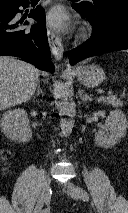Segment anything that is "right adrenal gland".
Masks as SVG:
<instances>
[{
  "label": "right adrenal gland",
  "instance_id": "right-adrenal-gland-1",
  "mask_svg": "<svg viewBox=\"0 0 128 213\" xmlns=\"http://www.w3.org/2000/svg\"><path fill=\"white\" fill-rule=\"evenodd\" d=\"M40 94H44V93H43V91L41 90L40 83H38L36 95L38 96V95H40Z\"/></svg>",
  "mask_w": 128,
  "mask_h": 213
}]
</instances>
